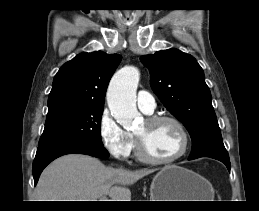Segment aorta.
<instances>
[{"label":"aorta","mask_w":259,"mask_h":211,"mask_svg":"<svg viewBox=\"0 0 259 211\" xmlns=\"http://www.w3.org/2000/svg\"><path fill=\"white\" fill-rule=\"evenodd\" d=\"M139 79L140 73L136 67H125L114 74L107 91L112 116L127 130L132 129L140 118L136 107Z\"/></svg>","instance_id":"762f6f07"}]
</instances>
